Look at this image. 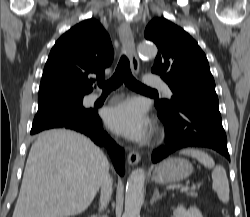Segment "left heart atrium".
Instances as JSON below:
<instances>
[{
	"label": "left heart atrium",
	"instance_id": "39dd6f15",
	"mask_svg": "<svg viewBox=\"0 0 250 217\" xmlns=\"http://www.w3.org/2000/svg\"><path fill=\"white\" fill-rule=\"evenodd\" d=\"M105 120L111 130L132 140L142 141L150 134V120L141 104L133 99L109 108Z\"/></svg>",
	"mask_w": 250,
	"mask_h": 217
}]
</instances>
